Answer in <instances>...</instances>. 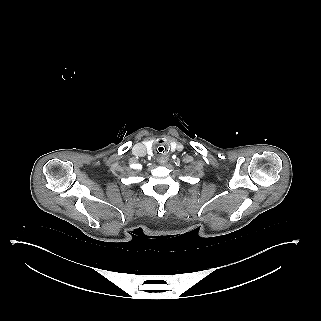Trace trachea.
Wrapping results in <instances>:
<instances>
[{
  "mask_svg": "<svg viewBox=\"0 0 321 321\" xmlns=\"http://www.w3.org/2000/svg\"><path fill=\"white\" fill-rule=\"evenodd\" d=\"M152 154L157 158H162L166 154V147L163 144H155L152 147Z\"/></svg>",
  "mask_w": 321,
  "mask_h": 321,
  "instance_id": "1",
  "label": "trachea"
}]
</instances>
